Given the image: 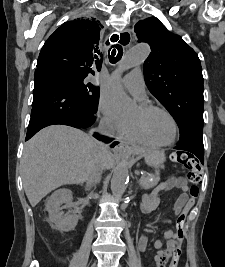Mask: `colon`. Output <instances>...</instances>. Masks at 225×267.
Masks as SVG:
<instances>
[{
	"instance_id": "1",
	"label": "colon",
	"mask_w": 225,
	"mask_h": 267,
	"mask_svg": "<svg viewBox=\"0 0 225 267\" xmlns=\"http://www.w3.org/2000/svg\"><path fill=\"white\" fill-rule=\"evenodd\" d=\"M171 159L174 162L181 164L188 171V178L191 182L189 188V199L184 204L177 216V244L174 248L172 260L169 267H178L182 253V242L184 239V224L187 214L192 209L195 199L199 194V184L202 181L203 170L199 160L191 153L184 151H177L171 155ZM157 267H166L165 261H160Z\"/></svg>"
}]
</instances>
